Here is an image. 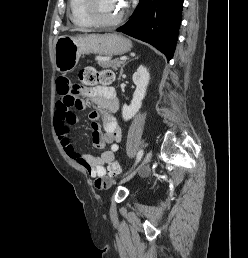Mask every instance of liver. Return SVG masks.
Masks as SVG:
<instances>
[{
	"label": "liver",
	"instance_id": "obj_1",
	"mask_svg": "<svg viewBox=\"0 0 248 258\" xmlns=\"http://www.w3.org/2000/svg\"><path fill=\"white\" fill-rule=\"evenodd\" d=\"M72 31H82V32H87L88 30H85V29H73Z\"/></svg>",
	"mask_w": 248,
	"mask_h": 258
}]
</instances>
